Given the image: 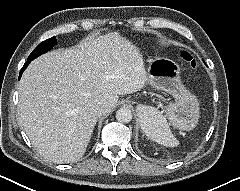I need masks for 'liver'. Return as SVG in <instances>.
<instances>
[{"mask_svg":"<svg viewBox=\"0 0 240 191\" xmlns=\"http://www.w3.org/2000/svg\"><path fill=\"white\" fill-rule=\"evenodd\" d=\"M147 83L139 49L118 33L88 38L33 60L19 83L18 120L37 151L55 163L79 160L97 120ZM107 105L100 114L95 106Z\"/></svg>","mask_w":240,"mask_h":191,"instance_id":"1","label":"liver"}]
</instances>
